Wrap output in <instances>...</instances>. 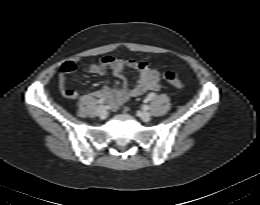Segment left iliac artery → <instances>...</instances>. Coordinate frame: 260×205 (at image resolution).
<instances>
[{
    "mask_svg": "<svg viewBox=\"0 0 260 205\" xmlns=\"http://www.w3.org/2000/svg\"><path fill=\"white\" fill-rule=\"evenodd\" d=\"M146 101H148V99H147ZM144 109H145V110H148V109H149V106H148V105H144Z\"/></svg>",
    "mask_w": 260,
    "mask_h": 205,
    "instance_id": "44dca946",
    "label": "left iliac artery"
}]
</instances>
